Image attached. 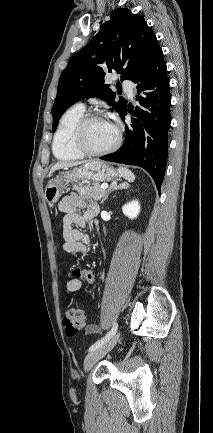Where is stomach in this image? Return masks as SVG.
<instances>
[{
    "label": "stomach",
    "instance_id": "0dacf381",
    "mask_svg": "<svg viewBox=\"0 0 213 433\" xmlns=\"http://www.w3.org/2000/svg\"><path fill=\"white\" fill-rule=\"evenodd\" d=\"M117 177V171L109 164L99 160L89 161L72 171L50 179L45 188L44 197L49 205H53L69 189L71 183L78 180L105 182L115 180Z\"/></svg>",
    "mask_w": 213,
    "mask_h": 433
}]
</instances>
